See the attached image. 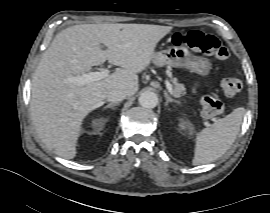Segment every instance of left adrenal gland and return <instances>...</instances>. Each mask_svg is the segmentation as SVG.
Returning <instances> with one entry per match:
<instances>
[{"instance_id":"1","label":"left adrenal gland","mask_w":270,"mask_h":213,"mask_svg":"<svg viewBox=\"0 0 270 213\" xmlns=\"http://www.w3.org/2000/svg\"><path fill=\"white\" fill-rule=\"evenodd\" d=\"M164 96L166 98L165 106H168L170 102H174V99L170 97V95L167 92H164Z\"/></svg>"}]
</instances>
